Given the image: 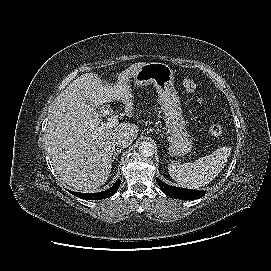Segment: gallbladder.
Returning <instances> with one entry per match:
<instances>
[{
  "label": "gallbladder",
  "instance_id": "1",
  "mask_svg": "<svg viewBox=\"0 0 271 271\" xmlns=\"http://www.w3.org/2000/svg\"><path fill=\"white\" fill-rule=\"evenodd\" d=\"M86 103L92 106L94 109H97L102 114H104L105 112H108V113L112 112V109L108 105H95L89 100H86Z\"/></svg>",
  "mask_w": 271,
  "mask_h": 271
}]
</instances>
